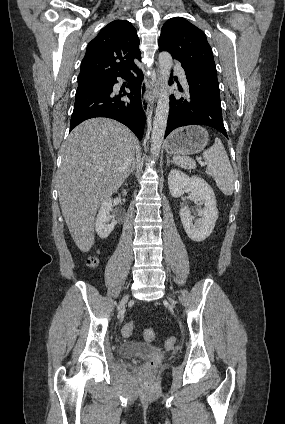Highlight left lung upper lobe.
<instances>
[{
	"label": "left lung upper lobe",
	"instance_id": "left-lung-upper-lobe-1",
	"mask_svg": "<svg viewBox=\"0 0 285 424\" xmlns=\"http://www.w3.org/2000/svg\"><path fill=\"white\" fill-rule=\"evenodd\" d=\"M160 51H168L185 72L197 68L216 70L213 53L202 30L182 17L167 20L158 41Z\"/></svg>",
	"mask_w": 285,
	"mask_h": 424
}]
</instances>
